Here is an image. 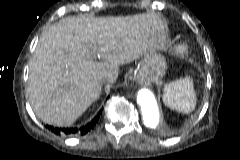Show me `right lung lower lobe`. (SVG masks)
Masks as SVG:
<instances>
[{
    "instance_id": "obj_1",
    "label": "right lung lower lobe",
    "mask_w": 240,
    "mask_h": 160,
    "mask_svg": "<svg viewBox=\"0 0 240 160\" xmlns=\"http://www.w3.org/2000/svg\"><path fill=\"white\" fill-rule=\"evenodd\" d=\"M101 112H102V110L97 114V116L95 118H93V120L91 122H89L87 125L82 126L80 128H56V127H52V126H46V127L57 135H60V134L85 135L86 133H88L90 130H92L94 128V126L96 125V123L99 120Z\"/></svg>"
}]
</instances>
